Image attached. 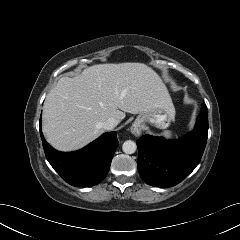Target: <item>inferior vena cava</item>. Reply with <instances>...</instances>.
Listing matches in <instances>:
<instances>
[{"label":"inferior vena cava","instance_id":"obj_1","mask_svg":"<svg viewBox=\"0 0 240 240\" xmlns=\"http://www.w3.org/2000/svg\"><path fill=\"white\" fill-rule=\"evenodd\" d=\"M118 124V121L115 118H109L103 123V128L105 130H111L115 128Z\"/></svg>","mask_w":240,"mask_h":240}]
</instances>
